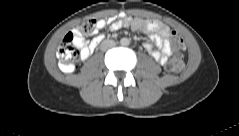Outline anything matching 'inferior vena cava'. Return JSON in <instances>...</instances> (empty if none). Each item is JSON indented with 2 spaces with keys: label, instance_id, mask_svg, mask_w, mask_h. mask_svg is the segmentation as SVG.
Masks as SVG:
<instances>
[{
  "label": "inferior vena cava",
  "instance_id": "602c4592",
  "mask_svg": "<svg viewBox=\"0 0 239 136\" xmlns=\"http://www.w3.org/2000/svg\"><path fill=\"white\" fill-rule=\"evenodd\" d=\"M116 45L115 41L113 40H105L101 43V50L106 51L109 48H112Z\"/></svg>",
  "mask_w": 239,
  "mask_h": 136
}]
</instances>
